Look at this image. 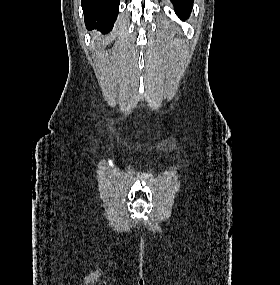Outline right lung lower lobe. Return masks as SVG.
<instances>
[{"mask_svg": "<svg viewBox=\"0 0 280 285\" xmlns=\"http://www.w3.org/2000/svg\"><path fill=\"white\" fill-rule=\"evenodd\" d=\"M120 0H81L85 25L103 33L112 30L119 11Z\"/></svg>", "mask_w": 280, "mask_h": 285, "instance_id": "1", "label": "right lung lower lobe"}]
</instances>
